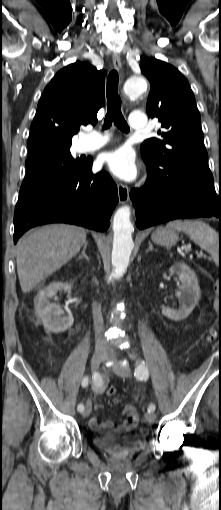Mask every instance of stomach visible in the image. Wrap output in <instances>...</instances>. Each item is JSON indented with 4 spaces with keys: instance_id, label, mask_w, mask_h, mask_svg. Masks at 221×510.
<instances>
[{
    "instance_id": "0dacf381",
    "label": "stomach",
    "mask_w": 221,
    "mask_h": 510,
    "mask_svg": "<svg viewBox=\"0 0 221 510\" xmlns=\"http://www.w3.org/2000/svg\"><path fill=\"white\" fill-rule=\"evenodd\" d=\"M152 240L159 245L170 247L175 245L179 239L174 229L167 227H158L151 235Z\"/></svg>"
}]
</instances>
